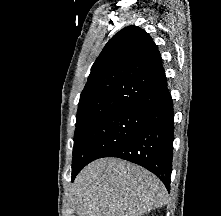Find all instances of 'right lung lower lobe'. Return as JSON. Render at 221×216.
Listing matches in <instances>:
<instances>
[{
	"instance_id": "98d812e1",
	"label": "right lung lower lobe",
	"mask_w": 221,
	"mask_h": 216,
	"mask_svg": "<svg viewBox=\"0 0 221 216\" xmlns=\"http://www.w3.org/2000/svg\"><path fill=\"white\" fill-rule=\"evenodd\" d=\"M174 114L168 92L151 110L139 130L104 157H117L136 163L160 178L170 190ZM85 165L72 168V181Z\"/></svg>"
}]
</instances>
